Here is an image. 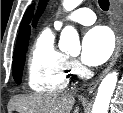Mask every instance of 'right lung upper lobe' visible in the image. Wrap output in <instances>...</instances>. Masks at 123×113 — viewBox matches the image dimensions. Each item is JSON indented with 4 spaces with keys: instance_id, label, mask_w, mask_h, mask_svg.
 I'll use <instances>...</instances> for the list:
<instances>
[{
    "instance_id": "cb5924a9",
    "label": "right lung upper lobe",
    "mask_w": 123,
    "mask_h": 113,
    "mask_svg": "<svg viewBox=\"0 0 123 113\" xmlns=\"http://www.w3.org/2000/svg\"><path fill=\"white\" fill-rule=\"evenodd\" d=\"M33 10H34V4L29 6V8L26 10L23 16L22 23L20 25V33L18 34L15 50L18 47L22 46L23 44L28 43L29 35H30L29 23L33 16Z\"/></svg>"
}]
</instances>
